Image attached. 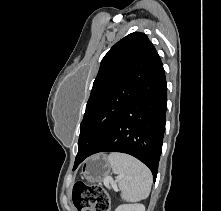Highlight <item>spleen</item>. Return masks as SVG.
I'll list each match as a JSON object with an SVG mask.
<instances>
[{"label": "spleen", "instance_id": "1", "mask_svg": "<svg viewBox=\"0 0 221 211\" xmlns=\"http://www.w3.org/2000/svg\"><path fill=\"white\" fill-rule=\"evenodd\" d=\"M112 172L118 175L120 197L127 202H138L147 198L152 185L151 171L139 160L122 153H111L107 157Z\"/></svg>", "mask_w": 221, "mask_h": 211}]
</instances>
